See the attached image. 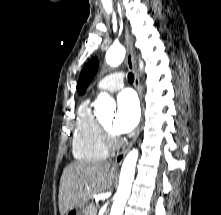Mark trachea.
<instances>
[{
	"label": "trachea",
	"instance_id": "3493384b",
	"mask_svg": "<svg viewBox=\"0 0 221 215\" xmlns=\"http://www.w3.org/2000/svg\"><path fill=\"white\" fill-rule=\"evenodd\" d=\"M128 81L132 83L134 81V75L132 73L128 74Z\"/></svg>",
	"mask_w": 221,
	"mask_h": 215
}]
</instances>
